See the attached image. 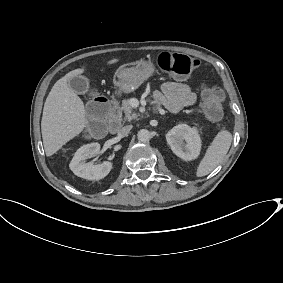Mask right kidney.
<instances>
[{
    "label": "right kidney",
    "mask_w": 283,
    "mask_h": 283,
    "mask_svg": "<svg viewBox=\"0 0 283 283\" xmlns=\"http://www.w3.org/2000/svg\"><path fill=\"white\" fill-rule=\"evenodd\" d=\"M100 150L98 143H91L80 147L71 160L69 167L77 176L88 180H100L105 178L113 167L112 161H103L102 164L94 165L87 162Z\"/></svg>",
    "instance_id": "right-kidney-1"
}]
</instances>
